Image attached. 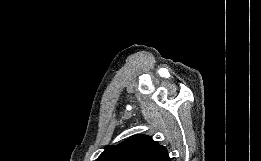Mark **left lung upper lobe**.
Returning <instances> with one entry per match:
<instances>
[{"mask_svg": "<svg viewBox=\"0 0 261 161\" xmlns=\"http://www.w3.org/2000/svg\"><path fill=\"white\" fill-rule=\"evenodd\" d=\"M166 148L147 135H134L117 145H108L96 161H155Z\"/></svg>", "mask_w": 261, "mask_h": 161, "instance_id": "1", "label": "left lung upper lobe"}]
</instances>
